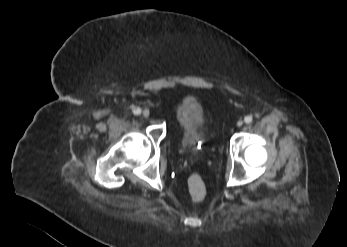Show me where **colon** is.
Returning <instances> with one entry per match:
<instances>
[{"instance_id":"5ec220e1","label":"colon","mask_w":347,"mask_h":247,"mask_svg":"<svg viewBox=\"0 0 347 247\" xmlns=\"http://www.w3.org/2000/svg\"><path fill=\"white\" fill-rule=\"evenodd\" d=\"M188 192L193 201H202L206 196V186L199 174H193L188 180Z\"/></svg>"}]
</instances>
